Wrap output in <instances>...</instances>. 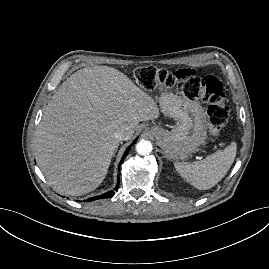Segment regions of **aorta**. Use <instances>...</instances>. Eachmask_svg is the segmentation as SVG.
Masks as SVG:
<instances>
[{"label": "aorta", "mask_w": 269, "mask_h": 269, "mask_svg": "<svg viewBox=\"0 0 269 269\" xmlns=\"http://www.w3.org/2000/svg\"><path fill=\"white\" fill-rule=\"evenodd\" d=\"M153 149L152 143L148 140H140L136 145V151L140 155H147L149 154Z\"/></svg>", "instance_id": "762f6f07"}]
</instances>
